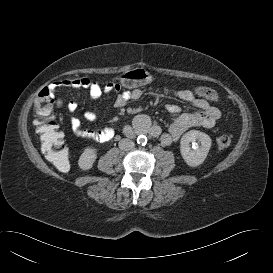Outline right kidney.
Segmentation results:
<instances>
[{"instance_id": "right-kidney-1", "label": "right kidney", "mask_w": 273, "mask_h": 273, "mask_svg": "<svg viewBox=\"0 0 273 273\" xmlns=\"http://www.w3.org/2000/svg\"><path fill=\"white\" fill-rule=\"evenodd\" d=\"M97 151L94 148L87 147L79 158V166L83 170H88L93 166L97 158Z\"/></svg>"}]
</instances>
